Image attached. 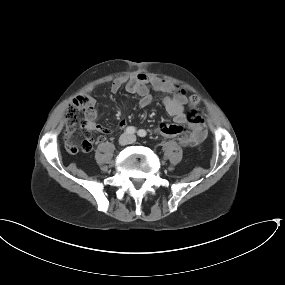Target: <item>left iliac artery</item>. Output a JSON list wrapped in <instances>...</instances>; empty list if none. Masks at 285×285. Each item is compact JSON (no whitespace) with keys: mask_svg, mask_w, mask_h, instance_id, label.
I'll use <instances>...</instances> for the list:
<instances>
[{"mask_svg":"<svg viewBox=\"0 0 285 285\" xmlns=\"http://www.w3.org/2000/svg\"><path fill=\"white\" fill-rule=\"evenodd\" d=\"M138 136H140V137H145L146 136V131L145 130H139L138 131Z\"/></svg>","mask_w":285,"mask_h":285,"instance_id":"1","label":"left iliac artery"}]
</instances>
